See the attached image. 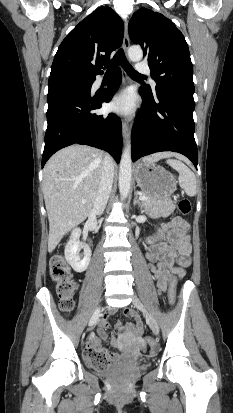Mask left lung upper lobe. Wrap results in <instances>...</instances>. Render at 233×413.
<instances>
[{
	"mask_svg": "<svg viewBox=\"0 0 233 413\" xmlns=\"http://www.w3.org/2000/svg\"><path fill=\"white\" fill-rule=\"evenodd\" d=\"M133 43L139 44L157 83L156 88L166 87L193 96V67L188 45L175 24L158 12L141 8L128 25ZM146 91L152 95L148 87Z\"/></svg>",
	"mask_w": 233,
	"mask_h": 413,
	"instance_id": "1",
	"label": "left lung upper lobe"
}]
</instances>
